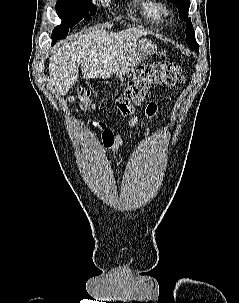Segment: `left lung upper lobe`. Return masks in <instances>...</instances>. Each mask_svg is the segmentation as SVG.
Returning <instances> with one entry per match:
<instances>
[{"instance_id": "5c2ea615", "label": "left lung upper lobe", "mask_w": 239, "mask_h": 303, "mask_svg": "<svg viewBox=\"0 0 239 303\" xmlns=\"http://www.w3.org/2000/svg\"><path fill=\"white\" fill-rule=\"evenodd\" d=\"M170 2L174 3L178 7L180 19H184L186 21V43L194 48L195 50L199 51V45L195 40V33L193 30V26L191 23V19L188 18V11L190 2L189 0H169Z\"/></svg>"}]
</instances>
